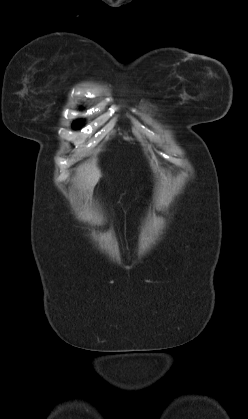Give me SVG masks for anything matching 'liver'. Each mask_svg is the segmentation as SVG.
Masks as SVG:
<instances>
[{
  "label": "liver",
  "instance_id": "obj_1",
  "mask_svg": "<svg viewBox=\"0 0 248 419\" xmlns=\"http://www.w3.org/2000/svg\"><path fill=\"white\" fill-rule=\"evenodd\" d=\"M99 177L100 171L91 164H85L80 168L79 180L82 182L83 187L90 192L93 191Z\"/></svg>",
  "mask_w": 248,
  "mask_h": 419
}]
</instances>
